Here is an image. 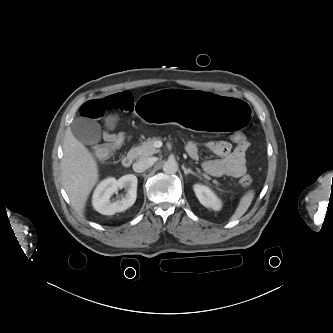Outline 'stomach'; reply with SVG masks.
I'll use <instances>...</instances> for the list:
<instances>
[{
  "instance_id": "0dacf381",
  "label": "stomach",
  "mask_w": 333,
  "mask_h": 333,
  "mask_svg": "<svg viewBox=\"0 0 333 333\" xmlns=\"http://www.w3.org/2000/svg\"><path fill=\"white\" fill-rule=\"evenodd\" d=\"M136 109L149 124L175 123L216 134L239 133L253 119L252 109L244 101L185 87L142 96L136 101Z\"/></svg>"
}]
</instances>
